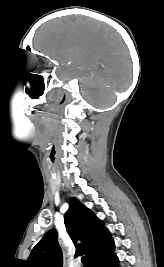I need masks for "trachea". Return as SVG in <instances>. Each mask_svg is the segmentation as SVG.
Listing matches in <instances>:
<instances>
[{"label": "trachea", "mask_w": 164, "mask_h": 267, "mask_svg": "<svg viewBox=\"0 0 164 267\" xmlns=\"http://www.w3.org/2000/svg\"><path fill=\"white\" fill-rule=\"evenodd\" d=\"M81 261H82L83 265L85 267H87V259H86V257H82Z\"/></svg>", "instance_id": "3493384b"}]
</instances>
